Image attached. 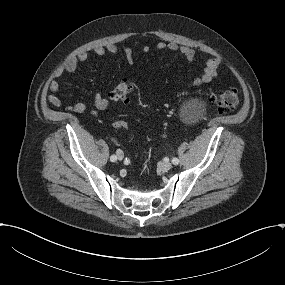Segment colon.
Returning <instances> with one entry per match:
<instances>
[{
    "instance_id": "colon-1",
    "label": "colon",
    "mask_w": 285,
    "mask_h": 285,
    "mask_svg": "<svg viewBox=\"0 0 285 285\" xmlns=\"http://www.w3.org/2000/svg\"><path fill=\"white\" fill-rule=\"evenodd\" d=\"M131 90L132 83L124 80L113 89L110 99L114 102H126ZM212 104L220 113H227L237 108L239 95L236 90H225L212 99ZM113 126L118 130L127 129V123L122 119L115 120Z\"/></svg>"
}]
</instances>
